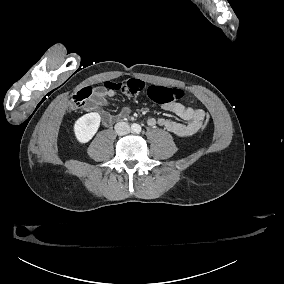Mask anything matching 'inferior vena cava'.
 <instances>
[{
    "label": "inferior vena cava",
    "mask_w": 284,
    "mask_h": 284,
    "mask_svg": "<svg viewBox=\"0 0 284 284\" xmlns=\"http://www.w3.org/2000/svg\"><path fill=\"white\" fill-rule=\"evenodd\" d=\"M115 131L118 135H126L130 133L131 129L127 122H118L115 124Z\"/></svg>",
    "instance_id": "obj_1"
}]
</instances>
